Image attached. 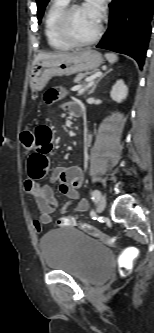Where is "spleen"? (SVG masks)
<instances>
[{
  "label": "spleen",
  "instance_id": "1",
  "mask_svg": "<svg viewBox=\"0 0 154 333\" xmlns=\"http://www.w3.org/2000/svg\"><path fill=\"white\" fill-rule=\"evenodd\" d=\"M105 57L108 60V62L111 64L118 61V56L115 53H106Z\"/></svg>",
  "mask_w": 154,
  "mask_h": 333
}]
</instances>
